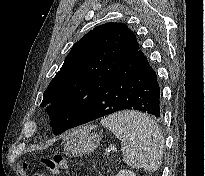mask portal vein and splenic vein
<instances>
[{"label": "portal vein and splenic vein", "instance_id": "1", "mask_svg": "<svg viewBox=\"0 0 205 176\" xmlns=\"http://www.w3.org/2000/svg\"><path fill=\"white\" fill-rule=\"evenodd\" d=\"M109 151L116 152V151H117V148H116V147H113V148H111V150H109Z\"/></svg>", "mask_w": 205, "mask_h": 176}]
</instances>
